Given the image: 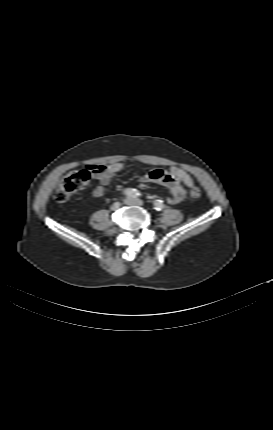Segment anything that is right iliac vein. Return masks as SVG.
Instances as JSON below:
<instances>
[{"mask_svg": "<svg viewBox=\"0 0 273 430\" xmlns=\"http://www.w3.org/2000/svg\"><path fill=\"white\" fill-rule=\"evenodd\" d=\"M120 206H121L120 202H115L114 204H112L111 210L115 211V210L119 209Z\"/></svg>", "mask_w": 273, "mask_h": 430, "instance_id": "obj_1", "label": "right iliac vein"}]
</instances>
